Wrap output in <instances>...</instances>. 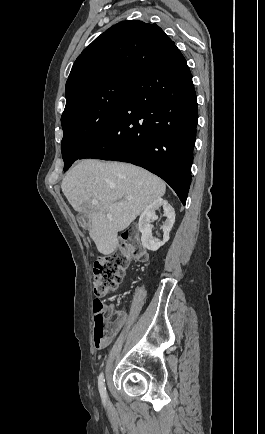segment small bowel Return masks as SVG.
Instances as JSON below:
<instances>
[{
    "label": "small bowel",
    "mask_w": 265,
    "mask_h": 434,
    "mask_svg": "<svg viewBox=\"0 0 265 434\" xmlns=\"http://www.w3.org/2000/svg\"><path fill=\"white\" fill-rule=\"evenodd\" d=\"M107 310H113L116 313V317L118 319V324L111 327V331L109 335V339L111 340L121 330V328H123L127 324L128 317L122 311H115L114 306L112 304L107 306Z\"/></svg>",
    "instance_id": "1"
}]
</instances>
